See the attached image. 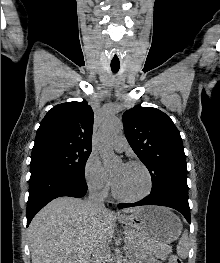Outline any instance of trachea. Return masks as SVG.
Masks as SVG:
<instances>
[{"label": "trachea", "mask_w": 220, "mask_h": 263, "mask_svg": "<svg viewBox=\"0 0 220 263\" xmlns=\"http://www.w3.org/2000/svg\"><path fill=\"white\" fill-rule=\"evenodd\" d=\"M120 65H112L111 64V70L113 73H117L119 71Z\"/></svg>", "instance_id": "1"}]
</instances>
